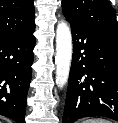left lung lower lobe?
Segmentation results:
<instances>
[{
	"instance_id": "1",
	"label": "left lung lower lobe",
	"mask_w": 118,
	"mask_h": 123,
	"mask_svg": "<svg viewBox=\"0 0 118 123\" xmlns=\"http://www.w3.org/2000/svg\"><path fill=\"white\" fill-rule=\"evenodd\" d=\"M73 56L62 123L118 121V36L71 24Z\"/></svg>"
}]
</instances>
